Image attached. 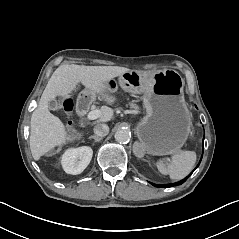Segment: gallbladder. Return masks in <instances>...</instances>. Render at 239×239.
<instances>
[{
    "instance_id": "obj_1",
    "label": "gallbladder",
    "mask_w": 239,
    "mask_h": 239,
    "mask_svg": "<svg viewBox=\"0 0 239 239\" xmlns=\"http://www.w3.org/2000/svg\"><path fill=\"white\" fill-rule=\"evenodd\" d=\"M48 108L50 110H57L59 108V104L56 99H51L48 101Z\"/></svg>"
}]
</instances>
